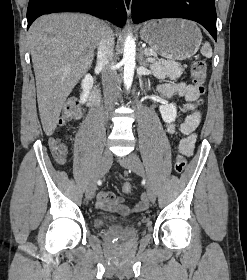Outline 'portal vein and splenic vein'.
Here are the masks:
<instances>
[{
	"label": "portal vein and splenic vein",
	"mask_w": 247,
	"mask_h": 280,
	"mask_svg": "<svg viewBox=\"0 0 247 280\" xmlns=\"http://www.w3.org/2000/svg\"><path fill=\"white\" fill-rule=\"evenodd\" d=\"M148 56H150V55H152L151 53H147V52H145ZM147 61L148 62H154V61H156V58H152V57H149V58H147Z\"/></svg>",
	"instance_id": "portal-vein-and-splenic-vein-1"
}]
</instances>
